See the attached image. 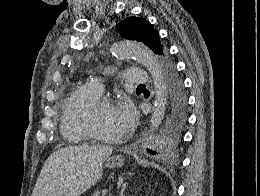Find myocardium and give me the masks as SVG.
Listing matches in <instances>:
<instances>
[{
  "label": "myocardium",
  "instance_id": "myocardium-1",
  "mask_svg": "<svg viewBox=\"0 0 260 196\" xmlns=\"http://www.w3.org/2000/svg\"><path fill=\"white\" fill-rule=\"evenodd\" d=\"M116 101L112 98L109 97H102L98 98L96 101H94L87 112V116L84 119L82 126L95 138L105 141V142H117L121 141L124 138L123 134L120 135H113V134H108L105 132H101L97 129L95 125V116L97 112L106 106L115 104Z\"/></svg>",
  "mask_w": 260,
  "mask_h": 196
}]
</instances>
